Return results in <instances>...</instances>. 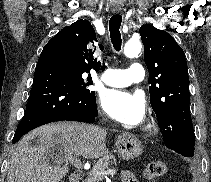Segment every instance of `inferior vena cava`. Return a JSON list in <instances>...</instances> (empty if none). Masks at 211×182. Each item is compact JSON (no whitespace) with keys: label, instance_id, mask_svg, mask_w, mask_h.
Returning <instances> with one entry per match:
<instances>
[{"label":"inferior vena cava","instance_id":"602c4592","mask_svg":"<svg viewBox=\"0 0 211 182\" xmlns=\"http://www.w3.org/2000/svg\"><path fill=\"white\" fill-rule=\"evenodd\" d=\"M96 133L97 134H102L103 133V127L102 126H97L96 127Z\"/></svg>","mask_w":211,"mask_h":182}]
</instances>
